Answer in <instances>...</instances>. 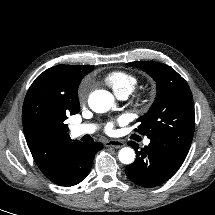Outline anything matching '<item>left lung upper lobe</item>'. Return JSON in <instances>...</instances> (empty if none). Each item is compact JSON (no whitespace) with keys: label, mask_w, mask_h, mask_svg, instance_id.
Wrapping results in <instances>:
<instances>
[{"label":"left lung upper lobe","mask_w":215,"mask_h":215,"mask_svg":"<svg viewBox=\"0 0 215 215\" xmlns=\"http://www.w3.org/2000/svg\"><path fill=\"white\" fill-rule=\"evenodd\" d=\"M128 65L143 69L157 83L155 101L138 119L140 125L135 130L187 154L195 128L193 97L187 82L164 64L135 61Z\"/></svg>","instance_id":"obj_1"}]
</instances>
